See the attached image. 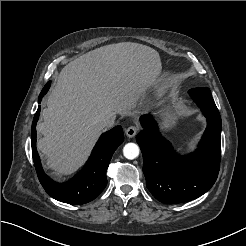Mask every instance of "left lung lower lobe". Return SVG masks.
Masks as SVG:
<instances>
[{
	"label": "left lung lower lobe",
	"mask_w": 246,
	"mask_h": 246,
	"mask_svg": "<svg viewBox=\"0 0 246 246\" xmlns=\"http://www.w3.org/2000/svg\"><path fill=\"white\" fill-rule=\"evenodd\" d=\"M189 94L207 118V128L196 152L176 155L148 115L141 117L144 130L136 137L143 155L147 188L166 204L200 197L213 186L220 168L222 123L219 111L209 88H193Z\"/></svg>",
	"instance_id": "obj_1"
}]
</instances>
